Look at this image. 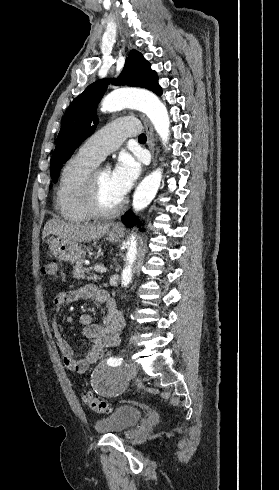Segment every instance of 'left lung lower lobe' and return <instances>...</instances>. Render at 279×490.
<instances>
[{
    "instance_id": "1",
    "label": "left lung lower lobe",
    "mask_w": 279,
    "mask_h": 490,
    "mask_svg": "<svg viewBox=\"0 0 279 490\" xmlns=\"http://www.w3.org/2000/svg\"><path fill=\"white\" fill-rule=\"evenodd\" d=\"M122 222L127 227H132L136 222L134 214L130 210L127 211L125 215L122 217Z\"/></svg>"
}]
</instances>
